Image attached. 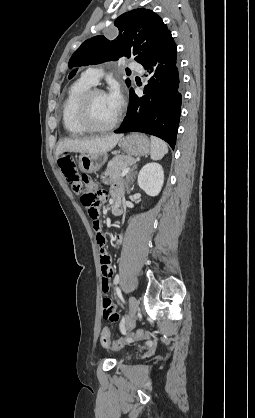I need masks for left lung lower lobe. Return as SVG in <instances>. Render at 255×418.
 <instances>
[{"label":"left lung lower lobe","instance_id":"left-lung-lower-lobe-1","mask_svg":"<svg viewBox=\"0 0 255 418\" xmlns=\"http://www.w3.org/2000/svg\"><path fill=\"white\" fill-rule=\"evenodd\" d=\"M149 84L139 97L130 89L127 116L115 133L143 132L165 140L174 149L181 113V73L173 38L142 63Z\"/></svg>","mask_w":255,"mask_h":418}]
</instances>
